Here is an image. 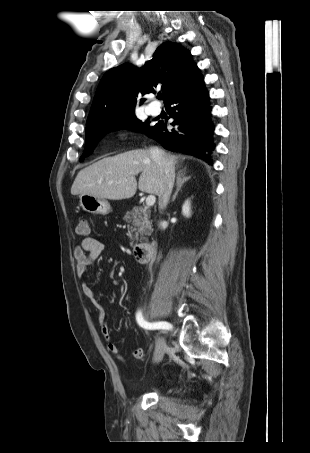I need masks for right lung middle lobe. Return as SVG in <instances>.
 Segmentation results:
<instances>
[{"mask_svg": "<svg viewBox=\"0 0 310 453\" xmlns=\"http://www.w3.org/2000/svg\"><path fill=\"white\" fill-rule=\"evenodd\" d=\"M136 118L134 112L117 118L115 120L98 124L91 128L86 129V148L84 150L83 155L80 158V161H83L85 157L92 154L95 145L97 144L98 140L106 133L111 130L118 129V128H126V127H136L141 132L145 133L151 126L150 121H142L137 119L139 123L138 126L134 125L133 119Z\"/></svg>", "mask_w": 310, "mask_h": 453, "instance_id": "dd1d6c3e", "label": "right lung middle lobe"}]
</instances>
